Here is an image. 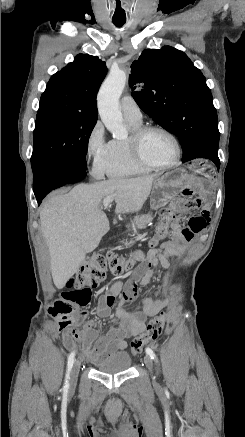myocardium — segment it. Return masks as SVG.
Returning <instances> with one entry per match:
<instances>
[{"mask_svg":"<svg viewBox=\"0 0 245 437\" xmlns=\"http://www.w3.org/2000/svg\"><path fill=\"white\" fill-rule=\"evenodd\" d=\"M150 131H160L164 133L169 139L172 141L175 147V158L174 160L169 164H155L152 163L144 158L141 152V140L143 136L150 132ZM129 151L134 158L135 161H137L139 164L151 168V169H157V170H165L175 167L181 158V146L179 143V140L177 137L167 128L160 126V125H144L136 128L132 131L129 138L127 139Z\"/></svg>","mask_w":245,"mask_h":437,"instance_id":"1","label":"myocardium"}]
</instances>
